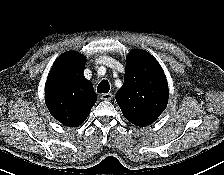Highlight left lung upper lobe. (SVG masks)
I'll return each mask as SVG.
<instances>
[{
	"label": "left lung upper lobe",
	"mask_w": 224,
	"mask_h": 175,
	"mask_svg": "<svg viewBox=\"0 0 224 175\" xmlns=\"http://www.w3.org/2000/svg\"><path fill=\"white\" fill-rule=\"evenodd\" d=\"M116 101L124 117L136 126L150 125L161 115L167 106L168 84L152 55L143 50L130 52Z\"/></svg>",
	"instance_id": "left-lung-upper-lobe-1"
}]
</instances>
